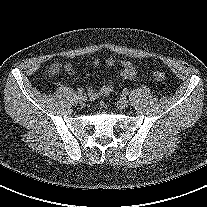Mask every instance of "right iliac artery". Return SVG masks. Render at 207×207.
<instances>
[{
  "label": "right iliac artery",
  "instance_id": "right-iliac-artery-1",
  "mask_svg": "<svg viewBox=\"0 0 207 207\" xmlns=\"http://www.w3.org/2000/svg\"><path fill=\"white\" fill-rule=\"evenodd\" d=\"M77 93H78L79 95H82V94L84 93V90L81 89V88H79V89L77 90Z\"/></svg>",
  "mask_w": 207,
  "mask_h": 207
}]
</instances>
